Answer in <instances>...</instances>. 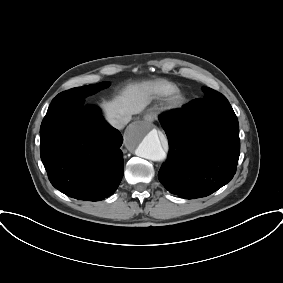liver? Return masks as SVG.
<instances>
[{"label": "liver", "instance_id": "1", "mask_svg": "<svg viewBox=\"0 0 283 283\" xmlns=\"http://www.w3.org/2000/svg\"><path fill=\"white\" fill-rule=\"evenodd\" d=\"M149 92L147 83L128 86L116 99L103 104L106 118L130 120L132 115L140 113L147 106Z\"/></svg>", "mask_w": 283, "mask_h": 283}]
</instances>
